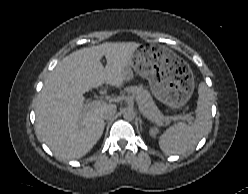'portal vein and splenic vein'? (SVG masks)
I'll use <instances>...</instances> for the list:
<instances>
[{
    "instance_id": "portal-vein-and-splenic-vein-1",
    "label": "portal vein and splenic vein",
    "mask_w": 248,
    "mask_h": 194,
    "mask_svg": "<svg viewBox=\"0 0 248 194\" xmlns=\"http://www.w3.org/2000/svg\"><path fill=\"white\" fill-rule=\"evenodd\" d=\"M104 102H105V99L100 98V99H98V100L89 102V103H88V106H89V107H95V106H98V105H100V104H103ZM138 106H139L140 112L146 117L143 107H142L139 103H138ZM146 118H147V117H146ZM180 118H181V119H184V120H187L189 123H191V121H192V117L189 116V115H187V116H181Z\"/></svg>"
}]
</instances>
